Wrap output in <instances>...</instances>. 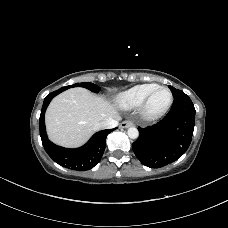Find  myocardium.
Instances as JSON below:
<instances>
[{"mask_svg": "<svg viewBox=\"0 0 228 228\" xmlns=\"http://www.w3.org/2000/svg\"><path fill=\"white\" fill-rule=\"evenodd\" d=\"M160 89H165L169 92L170 94V101L168 103V105L161 111L157 112V113H151L148 109L150 100L152 99V97L154 96V94L160 90ZM174 101V97H173V93L172 91L166 87V86H157L155 89H153L144 99V101L142 102V104L139 106V113H140V117L142 120L146 121V122H153L156 121L160 118H162L163 116H165L168 111L170 110V108L172 107Z\"/></svg>", "mask_w": 228, "mask_h": 228, "instance_id": "obj_1", "label": "myocardium"}]
</instances>
